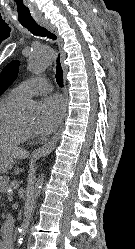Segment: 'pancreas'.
Returning a JSON list of instances; mask_svg holds the SVG:
<instances>
[{
	"instance_id": "1",
	"label": "pancreas",
	"mask_w": 135,
	"mask_h": 249,
	"mask_svg": "<svg viewBox=\"0 0 135 249\" xmlns=\"http://www.w3.org/2000/svg\"><path fill=\"white\" fill-rule=\"evenodd\" d=\"M17 186H18V181L14 180V181H12L11 184H10L8 187H6V188H15V187H17ZM1 190H2V191L4 190V187H3V186L1 187Z\"/></svg>"
}]
</instances>
